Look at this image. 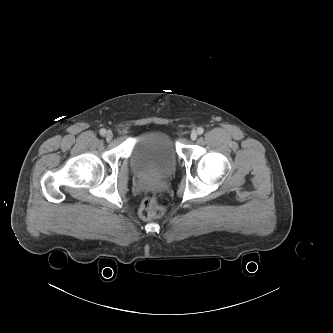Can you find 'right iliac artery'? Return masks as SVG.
<instances>
[{
    "mask_svg": "<svg viewBox=\"0 0 333 333\" xmlns=\"http://www.w3.org/2000/svg\"><path fill=\"white\" fill-rule=\"evenodd\" d=\"M106 134V130L105 129H101L100 130V135L104 136Z\"/></svg>",
    "mask_w": 333,
    "mask_h": 333,
    "instance_id": "right-iliac-artery-1",
    "label": "right iliac artery"
}]
</instances>
